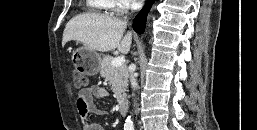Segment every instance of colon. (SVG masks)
<instances>
[{
  "label": "colon",
  "mask_w": 257,
  "mask_h": 130,
  "mask_svg": "<svg viewBox=\"0 0 257 130\" xmlns=\"http://www.w3.org/2000/svg\"><path fill=\"white\" fill-rule=\"evenodd\" d=\"M73 82L75 87L81 88L87 85V78L81 71L75 70L73 72Z\"/></svg>",
  "instance_id": "obj_1"
}]
</instances>
